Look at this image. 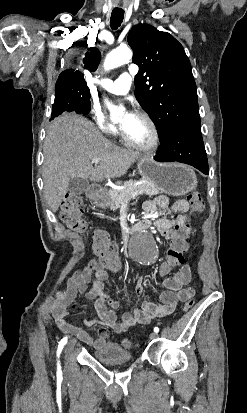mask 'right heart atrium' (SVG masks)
<instances>
[{"label":"right heart atrium","mask_w":247,"mask_h":413,"mask_svg":"<svg viewBox=\"0 0 247 413\" xmlns=\"http://www.w3.org/2000/svg\"><path fill=\"white\" fill-rule=\"evenodd\" d=\"M90 113L92 117L98 122L99 129L102 130L103 134H116L117 128L110 124L105 118L101 115L103 113L102 105H91Z\"/></svg>","instance_id":"obj_1"}]
</instances>
